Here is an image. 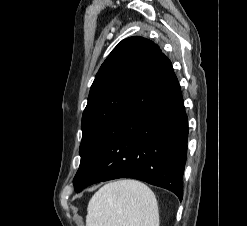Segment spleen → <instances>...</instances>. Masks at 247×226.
I'll list each match as a JSON object with an SVG mask.
<instances>
[{
  "label": "spleen",
  "instance_id": "spleen-1",
  "mask_svg": "<svg viewBox=\"0 0 247 226\" xmlns=\"http://www.w3.org/2000/svg\"><path fill=\"white\" fill-rule=\"evenodd\" d=\"M87 211L86 226H159L156 197L136 180L104 185L90 199Z\"/></svg>",
  "mask_w": 247,
  "mask_h": 226
}]
</instances>
